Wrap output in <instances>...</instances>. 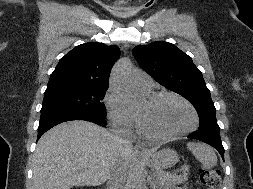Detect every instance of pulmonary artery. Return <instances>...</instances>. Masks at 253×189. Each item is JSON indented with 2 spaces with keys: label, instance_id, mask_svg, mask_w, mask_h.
Instances as JSON below:
<instances>
[{
  "label": "pulmonary artery",
  "instance_id": "e3ab8cb5",
  "mask_svg": "<svg viewBox=\"0 0 253 189\" xmlns=\"http://www.w3.org/2000/svg\"><path fill=\"white\" fill-rule=\"evenodd\" d=\"M135 84L137 85V87L141 91H143L145 93L151 92V90L153 88L152 79L149 76L145 75V74L137 77L136 80H135Z\"/></svg>",
  "mask_w": 253,
  "mask_h": 189
}]
</instances>
